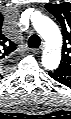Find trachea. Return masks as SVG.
Returning <instances> with one entry per match:
<instances>
[{
  "mask_svg": "<svg viewBox=\"0 0 71 119\" xmlns=\"http://www.w3.org/2000/svg\"><path fill=\"white\" fill-rule=\"evenodd\" d=\"M41 44V39L38 35L33 34L30 36L28 40V47L30 48H38Z\"/></svg>",
  "mask_w": 71,
  "mask_h": 119,
  "instance_id": "3493384b",
  "label": "trachea"
}]
</instances>
